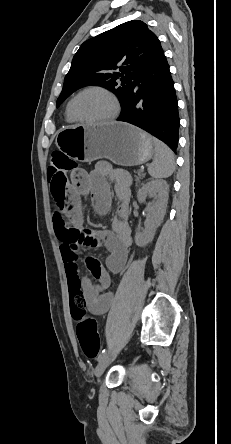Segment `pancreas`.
<instances>
[{"instance_id":"cf45deb5","label":"pancreas","mask_w":231,"mask_h":444,"mask_svg":"<svg viewBox=\"0 0 231 444\" xmlns=\"http://www.w3.org/2000/svg\"><path fill=\"white\" fill-rule=\"evenodd\" d=\"M135 174H136L135 175L136 182H139L145 176L141 170L135 171Z\"/></svg>"}]
</instances>
